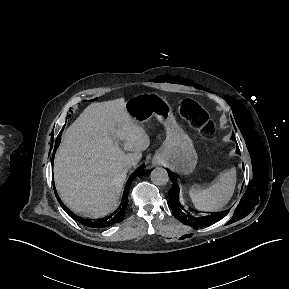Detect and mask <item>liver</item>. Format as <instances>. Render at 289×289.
I'll list each match as a JSON object with an SVG mask.
<instances>
[{
	"mask_svg": "<svg viewBox=\"0 0 289 289\" xmlns=\"http://www.w3.org/2000/svg\"><path fill=\"white\" fill-rule=\"evenodd\" d=\"M125 103L116 99L90 104L62 136L54 159V181L62 202L73 212L98 218L114 211L127 163L137 164L150 145Z\"/></svg>",
	"mask_w": 289,
	"mask_h": 289,
	"instance_id": "liver-1",
	"label": "liver"
}]
</instances>
